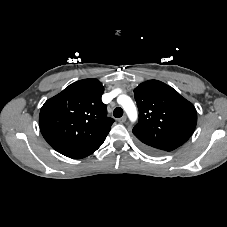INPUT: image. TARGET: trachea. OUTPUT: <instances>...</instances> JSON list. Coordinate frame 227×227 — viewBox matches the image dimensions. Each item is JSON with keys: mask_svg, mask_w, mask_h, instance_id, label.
Instances as JSON below:
<instances>
[{"mask_svg": "<svg viewBox=\"0 0 227 227\" xmlns=\"http://www.w3.org/2000/svg\"><path fill=\"white\" fill-rule=\"evenodd\" d=\"M113 115L116 118L122 117V115H123V109L120 108V107L115 108L114 111H113Z\"/></svg>", "mask_w": 227, "mask_h": 227, "instance_id": "1", "label": "trachea"}]
</instances>
